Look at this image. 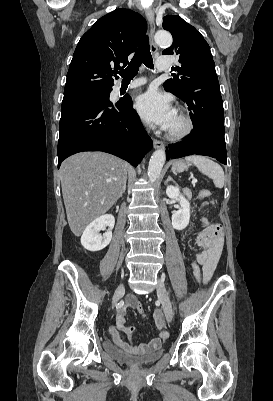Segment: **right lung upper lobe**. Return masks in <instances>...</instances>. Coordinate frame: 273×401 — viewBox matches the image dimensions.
<instances>
[{
	"instance_id": "cb5924a9",
	"label": "right lung upper lobe",
	"mask_w": 273,
	"mask_h": 401,
	"mask_svg": "<svg viewBox=\"0 0 273 401\" xmlns=\"http://www.w3.org/2000/svg\"><path fill=\"white\" fill-rule=\"evenodd\" d=\"M146 30L142 16L128 9L119 8L101 17L78 42L64 96L112 90L111 74L127 65L128 55L136 50Z\"/></svg>"
}]
</instances>
